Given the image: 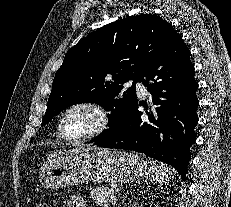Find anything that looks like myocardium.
I'll use <instances>...</instances> for the list:
<instances>
[{
    "label": "myocardium",
    "mask_w": 231,
    "mask_h": 207,
    "mask_svg": "<svg viewBox=\"0 0 231 207\" xmlns=\"http://www.w3.org/2000/svg\"><path fill=\"white\" fill-rule=\"evenodd\" d=\"M77 108H86L91 110L97 117V125L96 127L89 132L88 134L82 136V137H70L66 134L65 132V128H64V122L65 119L67 117V115L77 109ZM110 116L109 113L107 112V110L100 105L97 102L94 101H90V100H82V101H78L75 102L71 105H69L61 114L60 118H59V124H58V132L60 137L70 143H83L86 141H90L100 135H102L104 132H106L109 127H110Z\"/></svg>",
    "instance_id": "obj_1"
}]
</instances>
